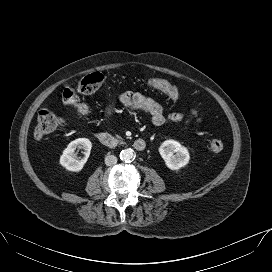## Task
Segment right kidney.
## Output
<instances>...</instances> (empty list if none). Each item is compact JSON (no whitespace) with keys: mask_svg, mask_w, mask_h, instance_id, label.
I'll use <instances>...</instances> for the list:
<instances>
[{"mask_svg":"<svg viewBox=\"0 0 272 272\" xmlns=\"http://www.w3.org/2000/svg\"><path fill=\"white\" fill-rule=\"evenodd\" d=\"M84 149L85 157L83 159H78L75 155L76 149ZM92 148V143L87 138H78L70 142L63 151L60 157V164L71 172H79L83 169Z\"/></svg>","mask_w":272,"mask_h":272,"instance_id":"right-kidney-1","label":"right kidney"}]
</instances>
